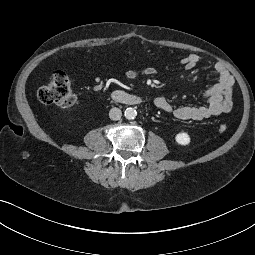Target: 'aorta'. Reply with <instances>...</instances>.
<instances>
[{"mask_svg":"<svg viewBox=\"0 0 255 255\" xmlns=\"http://www.w3.org/2000/svg\"><path fill=\"white\" fill-rule=\"evenodd\" d=\"M124 115L126 119L133 120L137 116V111L134 108L129 107L125 110Z\"/></svg>","mask_w":255,"mask_h":255,"instance_id":"obj_1","label":"aorta"}]
</instances>
